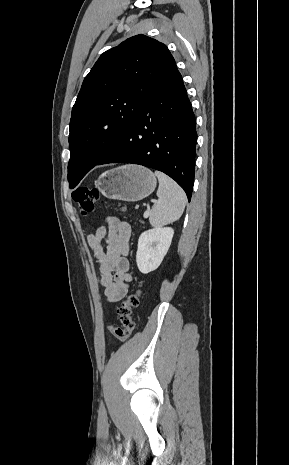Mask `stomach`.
I'll return each instance as SVG.
<instances>
[{"label": "stomach", "instance_id": "stomach-1", "mask_svg": "<svg viewBox=\"0 0 289 465\" xmlns=\"http://www.w3.org/2000/svg\"><path fill=\"white\" fill-rule=\"evenodd\" d=\"M95 183L106 198L136 202L149 196L157 181L149 169L128 164L102 173Z\"/></svg>", "mask_w": 289, "mask_h": 465}]
</instances>
